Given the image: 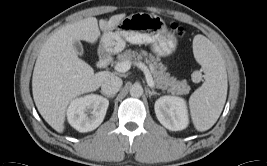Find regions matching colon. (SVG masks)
I'll return each mask as SVG.
<instances>
[{
    "label": "colon",
    "instance_id": "1",
    "mask_svg": "<svg viewBox=\"0 0 267 166\" xmlns=\"http://www.w3.org/2000/svg\"><path fill=\"white\" fill-rule=\"evenodd\" d=\"M171 29L178 37H183L185 34L184 28L178 23H172Z\"/></svg>",
    "mask_w": 267,
    "mask_h": 166
}]
</instances>
